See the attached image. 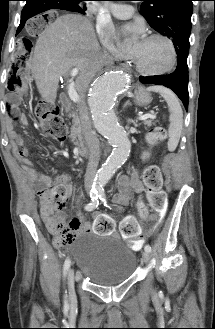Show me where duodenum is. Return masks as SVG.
Masks as SVG:
<instances>
[{
    "label": "duodenum",
    "mask_w": 215,
    "mask_h": 329,
    "mask_svg": "<svg viewBox=\"0 0 215 329\" xmlns=\"http://www.w3.org/2000/svg\"><path fill=\"white\" fill-rule=\"evenodd\" d=\"M59 102H60V105L64 109H69L71 106V101L66 93L61 94ZM76 148H77V152H78L79 156H81V157L88 156L89 152L85 145H83L82 143H78L76 145Z\"/></svg>",
    "instance_id": "410a0bca"
}]
</instances>
